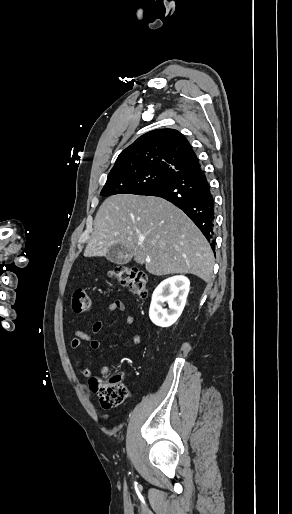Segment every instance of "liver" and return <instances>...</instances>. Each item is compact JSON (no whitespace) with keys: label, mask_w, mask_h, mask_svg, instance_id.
Returning a JSON list of instances; mask_svg holds the SVG:
<instances>
[{"label":"liver","mask_w":292,"mask_h":514,"mask_svg":"<svg viewBox=\"0 0 292 514\" xmlns=\"http://www.w3.org/2000/svg\"><path fill=\"white\" fill-rule=\"evenodd\" d=\"M121 244L154 276L195 274L210 282L214 254L190 218L156 196L117 194L100 206L85 258L106 256Z\"/></svg>","instance_id":"1"}]
</instances>
